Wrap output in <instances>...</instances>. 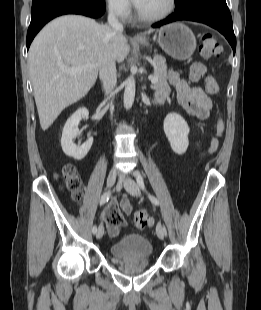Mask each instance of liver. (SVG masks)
Here are the masks:
<instances>
[{"label": "liver", "mask_w": 261, "mask_h": 310, "mask_svg": "<svg viewBox=\"0 0 261 310\" xmlns=\"http://www.w3.org/2000/svg\"><path fill=\"white\" fill-rule=\"evenodd\" d=\"M129 52L122 33L94 19L64 15L48 23L33 40L28 55L42 130H47L66 107L85 97L106 60L123 62ZM73 67L87 68L75 74L65 71Z\"/></svg>", "instance_id": "liver-1"}]
</instances>
